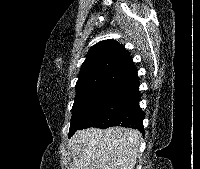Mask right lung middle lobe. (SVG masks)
I'll use <instances>...</instances> for the list:
<instances>
[{
  "mask_svg": "<svg viewBox=\"0 0 200 169\" xmlns=\"http://www.w3.org/2000/svg\"><path fill=\"white\" fill-rule=\"evenodd\" d=\"M115 86V83H103L77 93L72 107L69 137L107 100Z\"/></svg>",
  "mask_w": 200,
  "mask_h": 169,
  "instance_id": "1",
  "label": "right lung middle lobe"
}]
</instances>
